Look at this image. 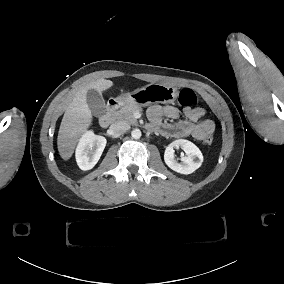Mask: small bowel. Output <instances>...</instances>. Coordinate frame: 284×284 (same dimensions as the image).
Wrapping results in <instances>:
<instances>
[{
    "label": "small bowel",
    "instance_id": "1",
    "mask_svg": "<svg viewBox=\"0 0 284 284\" xmlns=\"http://www.w3.org/2000/svg\"><path fill=\"white\" fill-rule=\"evenodd\" d=\"M186 119L180 120L181 111L171 105H154L148 110V118L152 126L161 134L171 138L193 137L199 141H205L214 132V122L204 118L205 110L202 108H185ZM164 118L172 123H166Z\"/></svg>",
    "mask_w": 284,
    "mask_h": 284
}]
</instances>
